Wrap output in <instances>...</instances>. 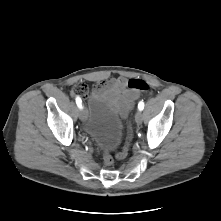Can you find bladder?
Wrapping results in <instances>:
<instances>
[{
    "instance_id": "31cf9c89",
    "label": "bladder",
    "mask_w": 221,
    "mask_h": 221,
    "mask_svg": "<svg viewBox=\"0 0 221 221\" xmlns=\"http://www.w3.org/2000/svg\"><path fill=\"white\" fill-rule=\"evenodd\" d=\"M85 130L104 150L117 148L123 139L124 117L103 95H93L86 108Z\"/></svg>"
}]
</instances>
